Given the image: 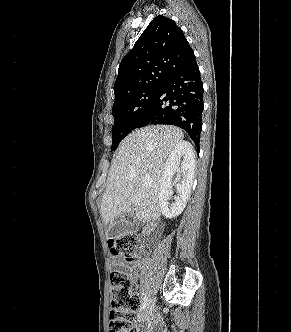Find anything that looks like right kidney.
Instances as JSON below:
<instances>
[{
	"instance_id": "obj_1",
	"label": "right kidney",
	"mask_w": 291,
	"mask_h": 332,
	"mask_svg": "<svg viewBox=\"0 0 291 332\" xmlns=\"http://www.w3.org/2000/svg\"><path fill=\"white\" fill-rule=\"evenodd\" d=\"M194 170L195 154L192 145L188 142L179 143L166 161L159 187V205L165 218H175L184 210L191 193ZM175 174L177 178L173 180ZM174 185L177 188V196L174 197L175 201L170 203Z\"/></svg>"
}]
</instances>
